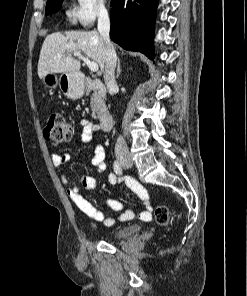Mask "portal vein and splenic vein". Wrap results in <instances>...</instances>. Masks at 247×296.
I'll use <instances>...</instances> for the list:
<instances>
[{
	"label": "portal vein and splenic vein",
	"mask_w": 247,
	"mask_h": 296,
	"mask_svg": "<svg viewBox=\"0 0 247 296\" xmlns=\"http://www.w3.org/2000/svg\"><path fill=\"white\" fill-rule=\"evenodd\" d=\"M75 57H78L81 59L92 72H97L99 69V66L96 62L90 61L88 57L83 56L81 53L77 52L74 54Z\"/></svg>",
	"instance_id": "18ae733b"
}]
</instances>
